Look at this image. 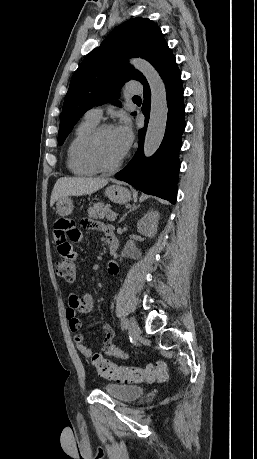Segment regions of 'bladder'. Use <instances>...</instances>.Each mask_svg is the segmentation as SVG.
<instances>
[{
  "label": "bladder",
  "mask_w": 257,
  "mask_h": 459,
  "mask_svg": "<svg viewBox=\"0 0 257 459\" xmlns=\"http://www.w3.org/2000/svg\"><path fill=\"white\" fill-rule=\"evenodd\" d=\"M104 391L111 397L124 402L135 400L145 392L141 386L114 383L105 385Z\"/></svg>",
  "instance_id": "1"
}]
</instances>
